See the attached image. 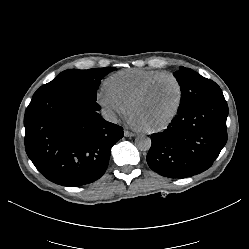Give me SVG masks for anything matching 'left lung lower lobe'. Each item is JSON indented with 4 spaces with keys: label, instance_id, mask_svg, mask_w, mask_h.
Here are the masks:
<instances>
[{
    "label": "left lung lower lobe",
    "instance_id": "0a47b994",
    "mask_svg": "<svg viewBox=\"0 0 249 249\" xmlns=\"http://www.w3.org/2000/svg\"><path fill=\"white\" fill-rule=\"evenodd\" d=\"M227 116L224 97L201 100L178 112L167 129L151 136L149 167L170 178L207 170L226 144Z\"/></svg>",
    "mask_w": 249,
    "mask_h": 249
}]
</instances>
